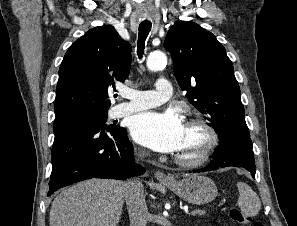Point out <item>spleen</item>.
Segmentation results:
<instances>
[{
    "mask_svg": "<svg viewBox=\"0 0 297 226\" xmlns=\"http://www.w3.org/2000/svg\"><path fill=\"white\" fill-rule=\"evenodd\" d=\"M239 198L237 205L242 213L248 217L256 216L261 209V201L259 196L253 189L244 182L237 183Z\"/></svg>",
    "mask_w": 297,
    "mask_h": 226,
    "instance_id": "obj_1",
    "label": "spleen"
}]
</instances>
